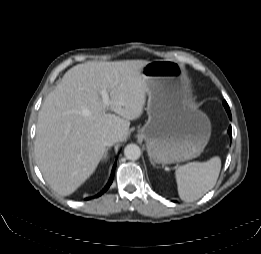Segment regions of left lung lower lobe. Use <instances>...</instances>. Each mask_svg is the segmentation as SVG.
Masks as SVG:
<instances>
[{
  "mask_svg": "<svg viewBox=\"0 0 261 254\" xmlns=\"http://www.w3.org/2000/svg\"><path fill=\"white\" fill-rule=\"evenodd\" d=\"M227 113H228V115H229V118L231 119V112L229 111V112H227ZM228 133H229L230 136H232V128H231V126H230L229 129H228Z\"/></svg>",
  "mask_w": 261,
  "mask_h": 254,
  "instance_id": "1",
  "label": "left lung lower lobe"
}]
</instances>
